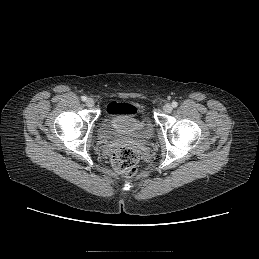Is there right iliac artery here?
Instances as JSON below:
<instances>
[{"label": "right iliac artery", "mask_w": 259, "mask_h": 259, "mask_svg": "<svg viewBox=\"0 0 259 259\" xmlns=\"http://www.w3.org/2000/svg\"><path fill=\"white\" fill-rule=\"evenodd\" d=\"M81 99H82V101H86L87 97L86 96H82Z\"/></svg>", "instance_id": "82829eb1"}]
</instances>
